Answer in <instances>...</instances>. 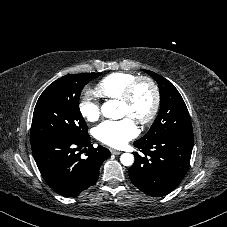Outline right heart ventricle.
<instances>
[{
    "label": "right heart ventricle",
    "instance_id": "right-heart-ventricle-1",
    "mask_svg": "<svg viewBox=\"0 0 227 227\" xmlns=\"http://www.w3.org/2000/svg\"><path fill=\"white\" fill-rule=\"evenodd\" d=\"M137 78L129 72H114L102 80L95 87L96 94L105 99H119L128 85Z\"/></svg>",
    "mask_w": 227,
    "mask_h": 227
}]
</instances>
